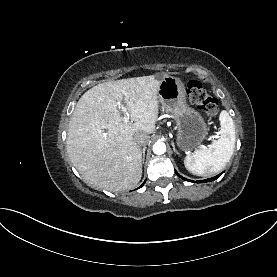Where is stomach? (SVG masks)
<instances>
[{"label":"stomach","mask_w":277,"mask_h":277,"mask_svg":"<svg viewBox=\"0 0 277 277\" xmlns=\"http://www.w3.org/2000/svg\"><path fill=\"white\" fill-rule=\"evenodd\" d=\"M157 95L162 108L175 119L179 149L190 152L198 147L207 137L209 127L203 116L187 104L182 81L173 76L163 77Z\"/></svg>","instance_id":"0dacf381"}]
</instances>
